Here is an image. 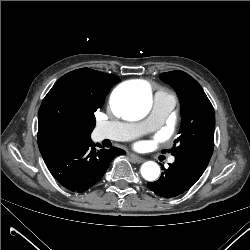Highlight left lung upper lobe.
Here are the masks:
<instances>
[{
  "label": "left lung upper lobe",
  "instance_id": "obj_1",
  "mask_svg": "<svg viewBox=\"0 0 250 250\" xmlns=\"http://www.w3.org/2000/svg\"><path fill=\"white\" fill-rule=\"evenodd\" d=\"M161 80L171 85L181 104L180 136L174 141L172 155L190 149L214 147V109L199 83L183 71L160 74Z\"/></svg>",
  "mask_w": 250,
  "mask_h": 250
}]
</instances>
